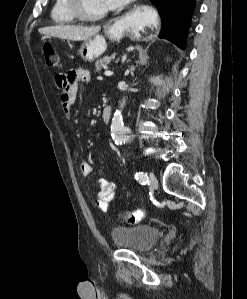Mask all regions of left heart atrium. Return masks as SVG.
<instances>
[{
	"mask_svg": "<svg viewBox=\"0 0 247 299\" xmlns=\"http://www.w3.org/2000/svg\"><path fill=\"white\" fill-rule=\"evenodd\" d=\"M128 1L129 0H104V3L108 9H115L124 5Z\"/></svg>",
	"mask_w": 247,
	"mask_h": 299,
	"instance_id": "left-heart-atrium-1",
	"label": "left heart atrium"
}]
</instances>
